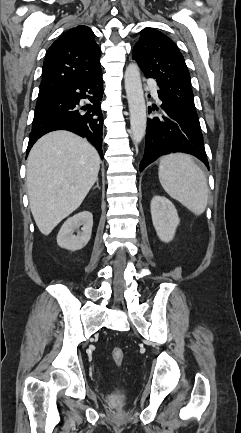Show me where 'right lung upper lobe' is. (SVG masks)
I'll return each instance as SVG.
<instances>
[{"label":"right lung upper lobe","instance_id":"obj_1","mask_svg":"<svg viewBox=\"0 0 241 433\" xmlns=\"http://www.w3.org/2000/svg\"><path fill=\"white\" fill-rule=\"evenodd\" d=\"M100 53L89 27L77 26L68 30L46 54L39 96L47 95L66 83L86 80L101 73Z\"/></svg>","mask_w":241,"mask_h":433}]
</instances>
